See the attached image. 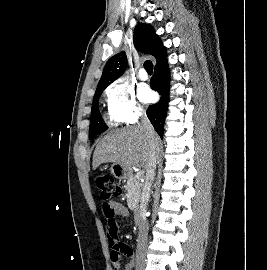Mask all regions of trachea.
I'll use <instances>...</instances> for the list:
<instances>
[{
  "mask_svg": "<svg viewBox=\"0 0 267 270\" xmlns=\"http://www.w3.org/2000/svg\"><path fill=\"white\" fill-rule=\"evenodd\" d=\"M144 68L148 73H153V65L150 60L144 62Z\"/></svg>",
  "mask_w": 267,
  "mask_h": 270,
  "instance_id": "1",
  "label": "trachea"
}]
</instances>
